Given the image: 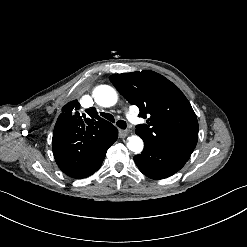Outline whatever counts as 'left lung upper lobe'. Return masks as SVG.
<instances>
[{
  "label": "left lung upper lobe",
  "instance_id": "1",
  "mask_svg": "<svg viewBox=\"0 0 247 247\" xmlns=\"http://www.w3.org/2000/svg\"><path fill=\"white\" fill-rule=\"evenodd\" d=\"M126 100L140 109L147 124L136 127L143 141L188 160L198 140L196 115L181 90L150 70L109 77Z\"/></svg>",
  "mask_w": 247,
  "mask_h": 247
}]
</instances>
